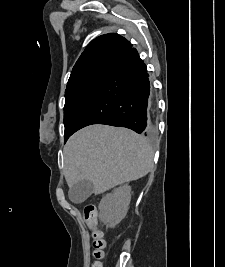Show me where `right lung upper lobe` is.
I'll return each mask as SVG.
<instances>
[{
  "label": "right lung upper lobe",
  "mask_w": 225,
  "mask_h": 267,
  "mask_svg": "<svg viewBox=\"0 0 225 267\" xmlns=\"http://www.w3.org/2000/svg\"><path fill=\"white\" fill-rule=\"evenodd\" d=\"M131 47L130 42L115 33L95 38L74 65L67 85L85 77L105 74L117 57Z\"/></svg>",
  "instance_id": "obj_1"
}]
</instances>
